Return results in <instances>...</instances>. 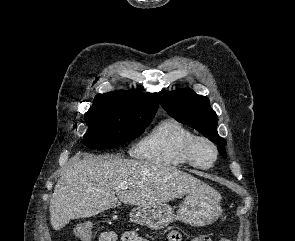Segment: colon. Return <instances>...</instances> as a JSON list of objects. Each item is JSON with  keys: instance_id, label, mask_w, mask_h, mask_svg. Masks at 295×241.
<instances>
[{"instance_id": "colon-1", "label": "colon", "mask_w": 295, "mask_h": 241, "mask_svg": "<svg viewBox=\"0 0 295 241\" xmlns=\"http://www.w3.org/2000/svg\"><path fill=\"white\" fill-rule=\"evenodd\" d=\"M81 238L83 241H91L92 240V226L88 225L87 227L84 228V230L81 232ZM182 237L181 235L175 236V241H181ZM219 241H231L226 238H222Z\"/></svg>"}]
</instances>
